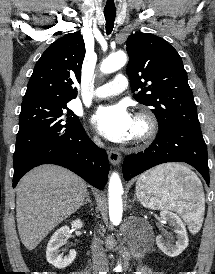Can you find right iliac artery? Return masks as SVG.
<instances>
[{"label": "right iliac artery", "instance_id": "obj_1", "mask_svg": "<svg viewBox=\"0 0 215 274\" xmlns=\"http://www.w3.org/2000/svg\"><path fill=\"white\" fill-rule=\"evenodd\" d=\"M99 274H106V272H100Z\"/></svg>", "mask_w": 215, "mask_h": 274}]
</instances>
